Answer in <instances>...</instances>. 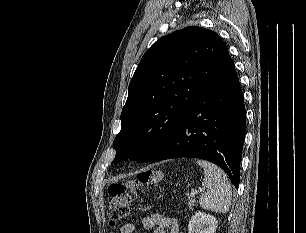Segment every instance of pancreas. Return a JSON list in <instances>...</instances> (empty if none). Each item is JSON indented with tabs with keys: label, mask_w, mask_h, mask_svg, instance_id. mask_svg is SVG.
<instances>
[{
	"label": "pancreas",
	"mask_w": 306,
	"mask_h": 233,
	"mask_svg": "<svg viewBox=\"0 0 306 233\" xmlns=\"http://www.w3.org/2000/svg\"><path fill=\"white\" fill-rule=\"evenodd\" d=\"M195 205H196V200L190 199V200L188 201V208H189L190 210H192L193 207H194Z\"/></svg>",
	"instance_id": "pancreas-1"
}]
</instances>
